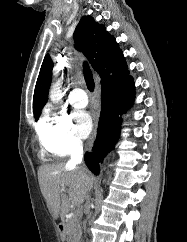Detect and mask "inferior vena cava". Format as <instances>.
<instances>
[{
	"label": "inferior vena cava",
	"instance_id": "1",
	"mask_svg": "<svg viewBox=\"0 0 187 242\" xmlns=\"http://www.w3.org/2000/svg\"><path fill=\"white\" fill-rule=\"evenodd\" d=\"M70 154H71V159L68 162V165L75 166L76 164H79V163L82 162L83 146H82V142L81 141L75 140L73 142ZM90 202H91V198H90V196H88L87 202H86V209H87V211H89V209H90Z\"/></svg>",
	"mask_w": 187,
	"mask_h": 242
}]
</instances>
